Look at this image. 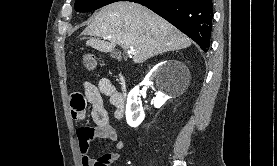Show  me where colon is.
<instances>
[{"label": "colon", "mask_w": 277, "mask_h": 166, "mask_svg": "<svg viewBox=\"0 0 277 166\" xmlns=\"http://www.w3.org/2000/svg\"><path fill=\"white\" fill-rule=\"evenodd\" d=\"M83 65L86 70L93 71L96 67V58L92 53H86L83 56Z\"/></svg>", "instance_id": "colon-1"}]
</instances>
